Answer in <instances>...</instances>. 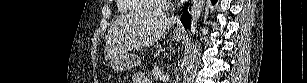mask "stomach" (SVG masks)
Returning <instances> with one entry per match:
<instances>
[{"mask_svg":"<svg viewBox=\"0 0 307 83\" xmlns=\"http://www.w3.org/2000/svg\"><path fill=\"white\" fill-rule=\"evenodd\" d=\"M183 38V33L176 31L174 34V40L177 42L181 41ZM139 63V59L136 56L132 55H119L111 58L110 65L111 67L119 72H123L133 68Z\"/></svg>","mask_w":307,"mask_h":83,"instance_id":"stomach-1","label":"stomach"}]
</instances>
